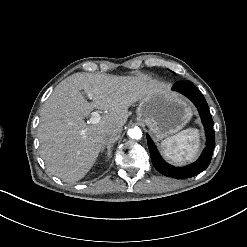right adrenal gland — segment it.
<instances>
[{
	"label": "right adrenal gland",
	"mask_w": 247,
	"mask_h": 247,
	"mask_svg": "<svg viewBox=\"0 0 247 247\" xmlns=\"http://www.w3.org/2000/svg\"><path fill=\"white\" fill-rule=\"evenodd\" d=\"M115 143V141L109 139L107 141H105L102 146H101V152H103L105 146H107V152L110 156H112V146Z\"/></svg>",
	"instance_id": "obj_1"
}]
</instances>
